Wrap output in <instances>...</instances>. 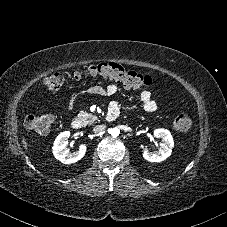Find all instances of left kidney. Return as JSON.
Segmentation results:
<instances>
[{"label": "left kidney", "mask_w": 227, "mask_h": 227, "mask_svg": "<svg viewBox=\"0 0 227 227\" xmlns=\"http://www.w3.org/2000/svg\"><path fill=\"white\" fill-rule=\"evenodd\" d=\"M154 136L161 138L162 140L159 151L150 152L147 148L141 145L143 157L150 162H161L171 155L172 147L174 146V140L170 131L167 129L154 130Z\"/></svg>", "instance_id": "left-kidney-1"}]
</instances>
